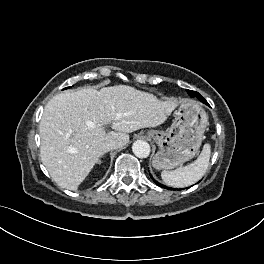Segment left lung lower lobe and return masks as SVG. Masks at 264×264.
<instances>
[{
  "label": "left lung lower lobe",
  "instance_id": "1",
  "mask_svg": "<svg viewBox=\"0 0 264 264\" xmlns=\"http://www.w3.org/2000/svg\"><path fill=\"white\" fill-rule=\"evenodd\" d=\"M195 96H196L197 98L201 99L202 102L206 103L205 99H204L199 93H197V92H193V93H191V97H195ZM154 182H155L158 186L165 188V186L159 184V183L156 182L155 180H154ZM168 189H170V188H168Z\"/></svg>",
  "mask_w": 264,
  "mask_h": 264
}]
</instances>
